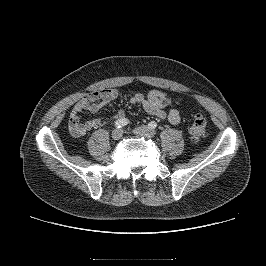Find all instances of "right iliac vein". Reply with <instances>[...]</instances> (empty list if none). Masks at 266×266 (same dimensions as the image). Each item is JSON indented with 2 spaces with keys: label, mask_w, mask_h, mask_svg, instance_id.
I'll use <instances>...</instances> for the list:
<instances>
[{
  "label": "right iliac vein",
  "mask_w": 266,
  "mask_h": 266,
  "mask_svg": "<svg viewBox=\"0 0 266 266\" xmlns=\"http://www.w3.org/2000/svg\"><path fill=\"white\" fill-rule=\"evenodd\" d=\"M122 135L123 131L119 128L114 129L111 134L113 140H119L122 137Z\"/></svg>",
  "instance_id": "1"
}]
</instances>
